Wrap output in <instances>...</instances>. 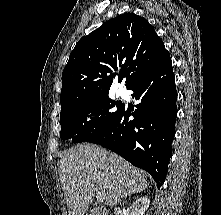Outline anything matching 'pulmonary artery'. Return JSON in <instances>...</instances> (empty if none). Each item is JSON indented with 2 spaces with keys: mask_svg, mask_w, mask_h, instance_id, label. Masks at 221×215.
I'll list each match as a JSON object with an SVG mask.
<instances>
[{
  "mask_svg": "<svg viewBox=\"0 0 221 215\" xmlns=\"http://www.w3.org/2000/svg\"><path fill=\"white\" fill-rule=\"evenodd\" d=\"M117 94H118L119 96H121V97H124V96L126 95V91L124 90V88L119 87V88L117 89Z\"/></svg>",
  "mask_w": 221,
  "mask_h": 215,
  "instance_id": "obj_1",
  "label": "pulmonary artery"
}]
</instances>
